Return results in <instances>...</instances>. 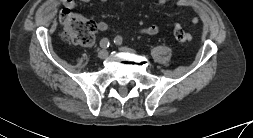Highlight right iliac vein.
<instances>
[{"instance_id":"1","label":"right iliac vein","mask_w":253,"mask_h":138,"mask_svg":"<svg viewBox=\"0 0 253 138\" xmlns=\"http://www.w3.org/2000/svg\"><path fill=\"white\" fill-rule=\"evenodd\" d=\"M108 56V51L106 49H103L101 51H99L98 53V58L103 60Z\"/></svg>"}]
</instances>
